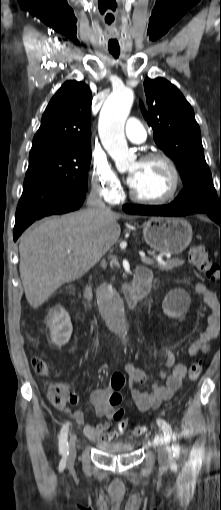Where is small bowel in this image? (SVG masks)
I'll use <instances>...</instances> for the list:
<instances>
[{
	"mask_svg": "<svg viewBox=\"0 0 221 510\" xmlns=\"http://www.w3.org/2000/svg\"><path fill=\"white\" fill-rule=\"evenodd\" d=\"M195 290L203 297L204 302L211 310V314L207 318V326L204 332L190 342L186 352L189 357L205 353L208 350L209 342L218 335L221 328L220 300L216 294L201 282L195 284ZM162 351L165 356V366L171 372H161L160 375L164 380V384H152L149 391L142 390L139 387L146 383V373L137 368L132 361L125 364L124 368L128 377L131 397L141 412L159 408L163 401L170 399L180 388L183 379L187 375V365L176 363V357L170 348L164 347ZM113 393L114 391L106 387L95 388L88 395L87 404L94 409L97 416L106 418L107 421L105 422L97 425L88 424L85 423L83 411L78 410L72 413L75 422L84 425V433L92 441L103 442V437L106 434L109 435L108 441H111L118 435L117 431L111 430V420L114 419L115 412L119 407L112 405L110 402ZM66 412L69 411L66 410Z\"/></svg>",
	"mask_w": 221,
	"mask_h": 510,
	"instance_id": "1",
	"label": "small bowel"
}]
</instances>
